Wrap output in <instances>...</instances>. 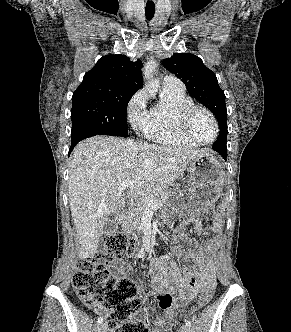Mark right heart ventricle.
<instances>
[{
    "label": "right heart ventricle",
    "instance_id": "right-heart-ventricle-1",
    "mask_svg": "<svg viewBox=\"0 0 291 332\" xmlns=\"http://www.w3.org/2000/svg\"><path fill=\"white\" fill-rule=\"evenodd\" d=\"M163 98L155 103L147 114L146 123L141 127L144 135L160 144L176 147H196L179 128L181 110L193 104L184 91L163 89Z\"/></svg>",
    "mask_w": 291,
    "mask_h": 332
}]
</instances>
